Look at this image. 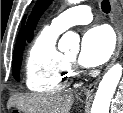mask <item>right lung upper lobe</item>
Instances as JSON below:
<instances>
[{
	"mask_svg": "<svg viewBox=\"0 0 123 113\" xmlns=\"http://www.w3.org/2000/svg\"><path fill=\"white\" fill-rule=\"evenodd\" d=\"M25 18L26 16H24L23 21H22V27L19 31L18 37H17V42H16V46L14 49V52L21 50L24 48V22H25Z\"/></svg>",
	"mask_w": 123,
	"mask_h": 113,
	"instance_id": "obj_1",
	"label": "right lung upper lobe"
}]
</instances>
